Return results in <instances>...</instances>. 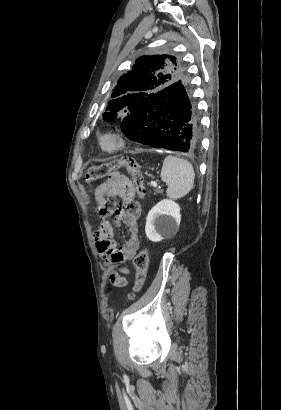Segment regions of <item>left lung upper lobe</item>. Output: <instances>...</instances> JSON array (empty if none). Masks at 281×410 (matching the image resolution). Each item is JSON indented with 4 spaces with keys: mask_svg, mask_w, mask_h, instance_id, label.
I'll use <instances>...</instances> for the list:
<instances>
[{
    "mask_svg": "<svg viewBox=\"0 0 281 410\" xmlns=\"http://www.w3.org/2000/svg\"><path fill=\"white\" fill-rule=\"evenodd\" d=\"M187 80L183 66L169 55L142 56L133 69L120 77L103 119L113 122L125 113L142 111L151 97L165 87Z\"/></svg>",
    "mask_w": 281,
    "mask_h": 410,
    "instance_id": "obj_1",
    "label": "left lung upper lobe"
}]
</instances>
